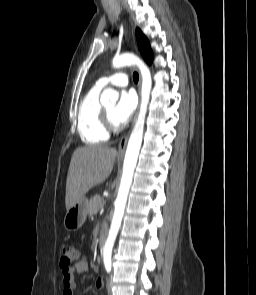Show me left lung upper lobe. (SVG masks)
<instances>
[{
	"label": "left lung upper lobe",
	"mask_w": 256,
	"mask_h": 295,
	"mask_svg": "<svg viewBox=\"0 0 256 295\" xmlns=\"http://www.w3.org/2000/svg\"><path fill=\"white\" fill-rule=\"evenodd\" d=\"M136 38H137V42H138V48H139L143 58L145 59V61L148 64H151L152 60H153V54L150 49L149 42H148L147 38L143 35L141 30L138 28L136 29Z\"/></svg>",
	"instance_id": "5c2ea615"
}]
</instances>
